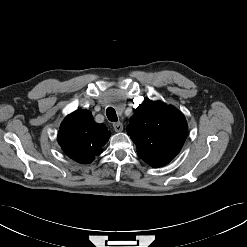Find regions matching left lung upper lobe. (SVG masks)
Listing matches in <instances>:
<instances>
[{"mask_svg": "<svg viewBox=\"0 0 247 247\" xmlns=\"http://www.w3.org/2000/svg\"><path fill=\"white\" fill-rule=\"evenodd\" d=\"M187 129L186 119L178 109L146 99L135 109L127 133L136 144L139 157L160 167L180 152Z\"/></svg>", "mask_w": 247, "mask_h": 247, "instance_id": "5c2ea615", "label": "left lung upper lobe"}]
</instances>
